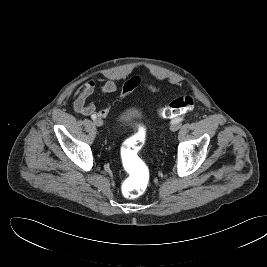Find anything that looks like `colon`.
I'll return each mask as SVG.
<instances>
[{
    "label": "colon",
    "mask_w": 267,
    "mask_h": 267,
    "mask_svg": "<svg viewBox=\"0 0 267 267\" xmlns=\"http://www.w3.org/2000/svg\"><path fill=\"white\" fill-rule=\"evenodd\" d=\"M195 106V99L190 95L181 96L158 109V114L167 119L191 111ZM145 143L144 132H138L126 139L121 146V158L127 171V178L123 183V194L128 198L140 196L148 186L149 171L139 156Z\"/></svg>",
    "instance_id": "obj_1"
}]
</instances>
